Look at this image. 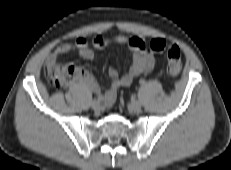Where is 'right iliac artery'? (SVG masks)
Wrapping results in <instances>:
<instances>
[{"mask_svg": "<svg viewBox=\"0 0 231 170\" xmlns=\"http://www.w3.org/2000/svg\"><path fill=\"white\" fill-rule=\"evenodd\" d=\"M98 100H102V98L100 96H98Z\"/></svg>", "mask_w": 231, "mask_h": 170, "instance_id": "right-iliac-artery-1", "label": "right iliac artery"}]
</instances>
